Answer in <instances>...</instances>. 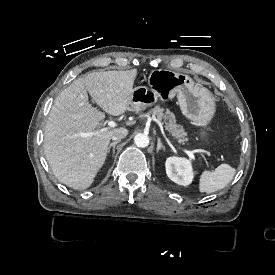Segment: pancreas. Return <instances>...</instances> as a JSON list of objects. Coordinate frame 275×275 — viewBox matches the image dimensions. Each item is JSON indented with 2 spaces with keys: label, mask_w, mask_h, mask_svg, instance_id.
I'll list each match as a JSON object with an SVG mask.
<instances>
[{
  "label": "pancreas",
  "mask_w": 275,
  "mask_h": 275,
  "mask_svg": "<svg viewBox=\"0 0 275 275\" xmlns=\"http://www.w3.org/2000/svg\"><path fill=\"white\" fill-rule=\"evenodd\" d=\"M149 114L156 116L159 122L163 121L167 134L179 138V143H182L186 140L183 138L187 136L185 128L181 124H176L174 112L170 111L169 109L155 107L149 112Z\"/></svg>",
  "instance_id": "1"
}]
</instances>
